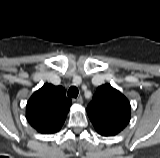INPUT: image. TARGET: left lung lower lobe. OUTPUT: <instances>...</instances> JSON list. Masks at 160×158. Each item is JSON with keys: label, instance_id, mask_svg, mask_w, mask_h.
Segmentation results:
<instances>
[{"label": "left lung lower lobe", "instance_id": "1", "mask_svg": "<svg viewBox=\"0 0 160 158\" xmlns=\"http://www.w3.org/2000/svg\"><path fill=\"white\" fill-rule=\"evenodd\" d=\"M96 131H97V133H99L100 135H102V136H111V135H109L108 133H105V132H103V131H99V130H97V129H95Z\"/></svg>", "mask_w": 160, "mask_h": 158}]
</instances>
